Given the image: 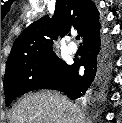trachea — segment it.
Segmentation results:
<instances>
[{"mask_svg": "<svg viewBox=\"0 0 122 123\" xmlns=\"http://www.w3.org/2000/svg\"><path fill=\"white\" fill-rule=\"evenodd\" d=\"M76 39H77V40H80V36H79V35H78V36H76Z\"/></svg>", "mask_w": 122, "mask_h": 123, "instance_id": "1", "label": "trachea"}]
</instances>
